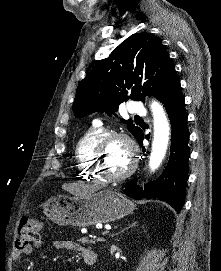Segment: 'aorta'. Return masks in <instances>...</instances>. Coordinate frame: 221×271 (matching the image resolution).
<instances>
[{"label": "aorta", "instance_id": "obj_1", "mask_svg": "<svg viewBox=\"0 0 221 271\" xmlns=\"http://www.w3.org/2000/svg\"><path fill=\"white\" fill-rule=\"evenodd\" d=\"M153 114V141L149 169L154 172L162 164L170 140V124L163 106L156 100L150 104Z\"/></svg>", "mask_w": 221, "mask_h": 271}]
</instances>
